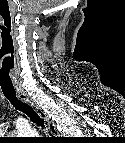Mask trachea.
<instances>
[{
    "instance_id": "trachea-1",
    "label": "trachea",
    "mask_w": 125,
    "mask_h": 143,
    "mask_svg": "<svg viewBox=\"0 0 125 143\" xmlns=\"http://www.w3.org/2000/svg\"><path fill=\"white\" fill-rule=\"evenodd\" d=\"M7 100L10 101V103L19 111L25 113L33 123L37 124L38 126L43 127L44 122L38 115V113L34 110L32 106H30L28 103L22 102L17 98L16 95H6L4 94Z\"/></svg>"
}]
</instances>
